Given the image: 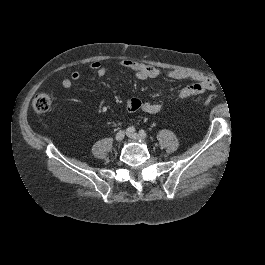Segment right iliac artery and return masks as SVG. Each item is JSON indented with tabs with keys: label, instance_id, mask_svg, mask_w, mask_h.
Here are the masks:
<instances>
[{
	"label": "right iliac artery",
	"instance_id": "1",
	"mask_svg": "<svg viewBox=\"0 0 265 265\" xmlns=\"http://www.w3.org/2000/svg\"><path fill=\"white\" fill-rule=\"evenodd\" d=\"M127 133H134L135 132V128L133 126H130L126 129Z\"/></svg>",
	"mask_w": 265,
	"mask_h": 265
}]
</instances>
